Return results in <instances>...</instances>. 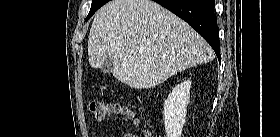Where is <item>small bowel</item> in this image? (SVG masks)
<instances>
[{"mask_svg":"<svg viewBox=\"0 0 280 137\" xmlns=\"http://www.w3.org/2000/svg\"><path fill=\"white\" fill-rule=\"evenodd\" d=\"M124 137H134L132 134H125Z\"/></svg>","mask_w":280,"mask_h":137,"instance_id":"c3829d8e","label":"small bowel"}]
</instances>
